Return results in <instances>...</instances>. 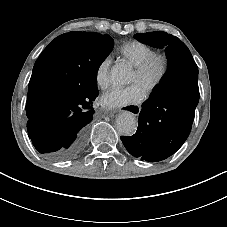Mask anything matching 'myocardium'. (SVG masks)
I'll return each mask as SVG.
<instances>
[{
    "instance_id": "obj_1",
    "label": "myocardium",
    "mask_w": 227,
    "mask_h": 227,
    "mask_svg": "<svg viewBox=\"0 0 227 227\" xmlns=\"http://www.w3.org/2000/svg\"><path fill=\"white\" fill-rule=\"evenodd\" d=\"M155 65L159 66V71L156 77L150 80L149 75ZM169 68L170 60L168 55L164 52H153L144 62L136 67L135 74L141 79L142 86L147 92H154L165 82Z\"/></svg>"
}]
</instances>
